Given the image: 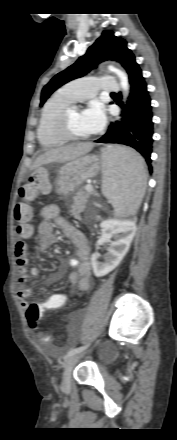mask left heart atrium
Wrapping results in <instances>:
<instances>
[{"label": "left heart atrium", "instance_id": "39dd6f15", "mask_svg": "<svg viewBox=\"0 0 177 440\" xmlns=\"http://www.w3.org/2000/svg\"><path fill=\"white\" fill-rule=\"evenodd\" d=\"M81 119L88 134L99 132L106 121L104 107L99 102L91 103L81 112Z\"/></svg>", "mask_w": 177, "mask_h": 440}]
</instances>
